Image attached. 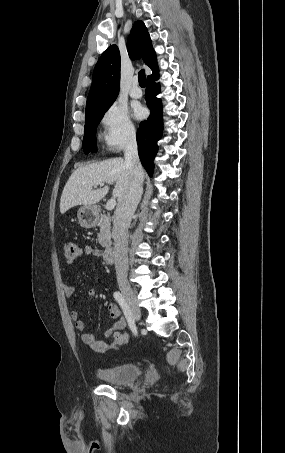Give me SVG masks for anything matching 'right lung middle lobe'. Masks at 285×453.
<instances>
[{"label": "right lung middle lobe", "instance_id": "1", "mask_svg": "<svg viewBox=\"0 0 285 453\" xmlns=\"http://www.w3.org/2000/svg\"><path fill=\"white\" fill-rule=\"evenodd\" d=\"M110 106L111 104L85 115V133L83 138V150L85 154L97 151L95 134L96 128L100 123L104 113Z\"/></svg>", "mask_w": 285, "mask_h": 453}]
</instances>
